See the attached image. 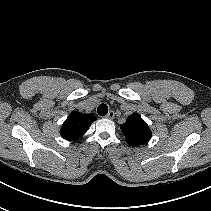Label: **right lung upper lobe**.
<instances>
[{"label":"right lung upper lobe","mask_w":211,"mask_h":211,"mask_svg":"<svg viewBox=\"0 0 211 211\" xmlns=\"http://www.w3.org/2000/svg\"><path fill=\"white\" fill-rule=\"evenodd\" d=\"M96 120L93 114H83L76 111L70 113L60 130L61 136L69 141L80 138Z\"/></svg>","instance_id":"1"}]
</instances>
